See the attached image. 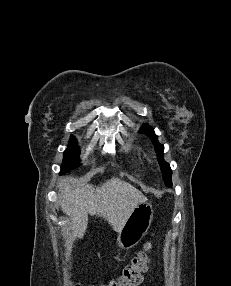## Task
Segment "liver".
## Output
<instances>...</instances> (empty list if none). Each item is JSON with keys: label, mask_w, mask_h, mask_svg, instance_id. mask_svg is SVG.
<instances>
[{"label": "liver", "mask_w": 231, "mask_h": 286, "mask_svg": "<svg viewBox=\"0 0 231 286\" xmlns=\"http://www.w3.org/2000/svg\"><path fill=\"white\" fill-rule=\"evenodd\" d=\"M147 198L131 184L112 177L100 186L73 187L65 178L59 193L63 213L71 217L72 237L83 238L88 225V215L105 219L113 230L119 232L133 210Z\"/></svg>", "instance_id": "liver-1"}]
</instances>
